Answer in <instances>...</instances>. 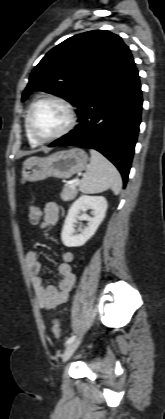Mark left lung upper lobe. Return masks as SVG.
Returning <instances> with one entry per match:
<instances>
[{
  "label": "left lung upper lobe",
  "instance_id": "obj_1",
  "mask_svg": "<svg viewBox=\"0 0 165 419\" xmlns=\"http://www.w3.org/2000/svg\"><path fill=\"white\" fill-rule=\"evenodd\" d=\"M131 59L128 46L109 31L74 35L51 49L34 68L22 101L33 90H41L64 98L79 112Z\"/></svg>",
  "mask_w": 165,
  "mask_h": 419
}]
</instances>
